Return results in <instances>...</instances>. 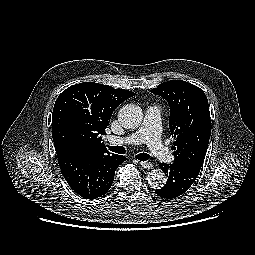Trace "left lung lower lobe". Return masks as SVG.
<instances>
[{"label": "left lung lower lobe", "mask_w": 255, "mask_h": 255, "mask_svg": "<svg viewBox=\"0 0 255 255\" xmlns=\"http://www.w3.org/2000/svg\"><path fill=\"white\" fill-rule=\"evenodd\" d=\"M159 167L168 179L166 185L156 190L155 193L165 199L177 198L185 193L198 176V174L182 164L173 163L168 165L160 163Z\"/></svg>", "instance_id": "1"}]
</instances>
